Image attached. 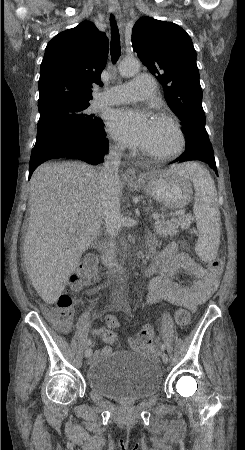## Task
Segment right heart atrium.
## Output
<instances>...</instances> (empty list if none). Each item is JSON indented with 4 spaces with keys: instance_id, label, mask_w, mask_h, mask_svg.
Wrapping results in <instances>:
<instances>
[{
    "instance_id": "obj_1",
    "label": "right heart atrium",
    "mask_w": 245,
    "mask_h": 450,
    "mask_svg": "<svg viewBox=\"0 0 245 450\" xmlns=\"http://www.w3.org/2000/svg\"><path fill=\"white\" fill-rule=\"evenodd\" d=\"M116 148H119V146H118V145H116Z\"/></svg>"
}]
</instances>
